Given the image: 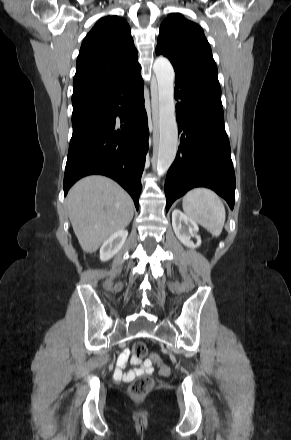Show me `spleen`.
I'll return each mask as SVG.
<instances>
[{
  "instance_id": "obj_1",
  "label": "spleen",
  "mask_w": 291,
  "mask_h": 440,
  "mask_svg": "<svg viewBox=\"0 0 291 440\" xmlns=\"http://www.w3.org/2000/svg\"><path fill=\"white\" fill-rule=\"evenodd\" d=\"M182 206L184 212L207 229L212 236H220L226 212L215 192L207 188L192 189L183 197Z\"/></svg>"
}]
</instances>
